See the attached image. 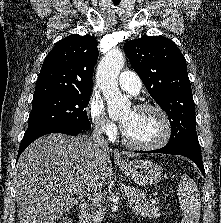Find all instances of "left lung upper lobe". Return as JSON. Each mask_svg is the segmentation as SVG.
<instances>
[{"instance_id": "1", "label": "left lung upper lobe", "mask_w": 221, "mask_h": 223, "mask_svg": "<svg viewBox=\"0 0 221 223\" xmlns=\"http://www.w3.org/2000/svg\"><path fill=\"white\" fill-rule=\"evenodd\" d=\"M124 51L151 97L169 117L168 145L198 141L186 60L177 45L168 38L144 36L128 41Z\"/></svg>"}]
</instances>
